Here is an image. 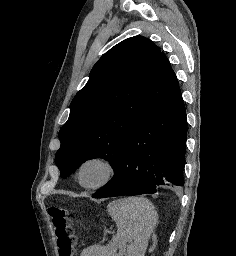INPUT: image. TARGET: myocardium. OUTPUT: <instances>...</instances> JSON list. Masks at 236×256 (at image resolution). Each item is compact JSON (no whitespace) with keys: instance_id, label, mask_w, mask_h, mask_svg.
<instances>
[{"instance_id":"obj_1","label":"myocardium","mask_w":236,"mask_h":256,"mask_svg":"<svg viewBox=\"0 0 236 256\" xmlns=\"http://www.w3.org/2000/svg\"><path fill=\"white\" fill-rule=\"evenodd\" d=\"M93 162L102 164L106 168V173H105L104 177L102 179H100L98 182L93 183V184H85L81 178L82 170L85 165H87L89 163H93ZM116 173H117L116 164L110 157H108L106 155H102V154H94V155H90V156L84 158L79 163V165L77 167L76 175H77L78 182L82 187H84L86 189H98V188H101V187L107 185L109 182H111L113 180V178L115 177Z\"/></svg>"}]
</instances>
